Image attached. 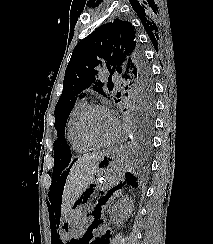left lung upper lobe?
<instances>
[{"instance_id": "obj_1", "label": "left lung upper lobe", "mask_w": 213, "mask_h": 244, "mask_svg": "<svg viewBox=\"0 0 213 244\" xmlns=\"http://www.w3.org/2000/svg\"><path fill=\"white\" fill-rule=\"evenodd\" d=\"M135 31L127 21L115 19L95 29L74 48L65 71L63 91L55 107L57 140L54 153L69 154L65 140L67 118L75 105L77 96L86 89H93L109 99L103 90V77L108 72V90L113 89L112 75L118 73L129 98V109L154 115V86L150 68L135 40ZM120 100H116L119 102ZM59 159V160H60ZM60 163V162H59Z\"/></svg>"}]
</instances>
